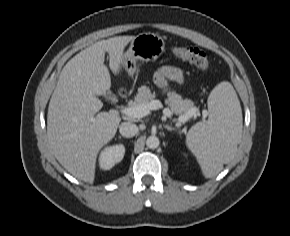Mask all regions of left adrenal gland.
I'll use <instances>...</instances> for the list:
<instances>
[{
  "instance_id": "a2214340",
  "label": "left adrenal gland",
  "mask_w": 290,
  "mask_h": 236,
  "mask_svg": "<svg viewBox=\"0 0 290 236\" xmlns=\"http://www.w3.org/2000/svg\"><path fill=\"white\" fill-rule=\"evenodd\" d=\"M164 127H165L168 131H177L176 128H172V127L169 126V125H165Z\"/></svg>"
}]
</instances>
